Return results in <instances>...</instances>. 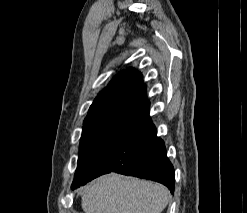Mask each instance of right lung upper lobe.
I'll use <instances>...</instances> for the list:
<instances>
[{
    "label": "right lung upper lobe",
    "mask_w": 247,
    "mask_h": 213,
    "mask_svg": "<svg viewBox=\"0 0 247 213\" xmlns=\"http://www.w3.org/2000/svg\"><path fill=\"white\" fill-rule=\"evenodd\" d=\"M143 101H146V86L142 82V74L127 69L116 75L100 92L90 106L84 123L104 112L123 107L132 108Z\"/></svg>",
    "instance_id": "obj_1"
}]
</instances>
